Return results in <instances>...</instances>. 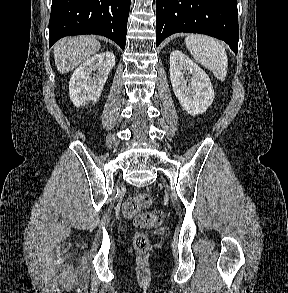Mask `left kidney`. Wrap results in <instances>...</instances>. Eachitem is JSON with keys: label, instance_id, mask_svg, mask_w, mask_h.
Segmentation results:
<instances>
[{"label": "left kidney", "instance_id": "obj_1", "mask_svg": "<svg viewBox=\"0 0 288 293\" xmlns=\"http://www.w3.org/2000/svg\"><path fill=\"white\" fill-rule=\"evenodd\" d=\"M169 71L174 94L183 110L193 116L204 113L214 99L208 75L178 50L170 54Z\"/></svg>", "mask_w": 288, "mask_h": 293}]
</instances>
